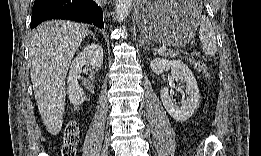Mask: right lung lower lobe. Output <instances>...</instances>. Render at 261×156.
<instances>
[{
  "instance_id": "obj_1",
  "label": "right lung lower lobe",
  "mask_w": 261,
  "mask_h": 156,
  "mask_svg": "<svg viewBox=\"0 0 261 156\" xmlns=\"http://www.w3.org/2000/svg\"><path fill=\"white\" fill-rule=\"evenodd\" d=\"M49 19L86 22L103 28L101 7L94 0H35L30 28Z\"/></svg>"
}]
</instances>
